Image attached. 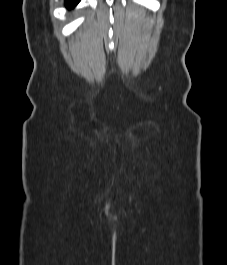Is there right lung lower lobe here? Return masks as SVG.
I'll return each mask as SVG.
<instances>
[{
  "mask_svg": "<svg viewBox=\"0 0 227 265\" xmlns=\"http://www.w3.org/2000/svg\"><path fill=\"white\" fill-rule=\"evenodd\" d=\"M80 0H65L66 7L67 8H72L76 6L79 3Z\"/></svg>",
  "mask_w": 227,
  "mask_h": 265,
  "instance_id": "right-lung-lower-lobe-1",
  "label": "right lung lower lobe"
}]
</instances>
